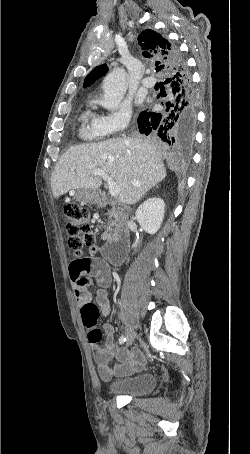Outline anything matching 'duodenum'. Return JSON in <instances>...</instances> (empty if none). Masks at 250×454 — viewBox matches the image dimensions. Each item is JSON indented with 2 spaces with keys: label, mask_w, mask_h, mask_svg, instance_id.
<instances>
[{
  "label": "duodenum",
  "mask_w": 250,
  "mask_h": 454,
  "mask_svg": "<svg viewBox=\"0 0 250 454\" xmlns=\"http://www.w3.org/2000/svg\"><path fill=\"white\" fill-rule=\"evenodd\" d=\"M99 203L102 206L108 205L105 196H99ZM112 214L118 216L120 211L117 208L111 210ZM129 229L127 226L117 225L108 243L103 247L104 258L112 265L119 266L125 261L129 246Z\"/></svg>",
  "instance_id": "410a0bca"
}]
</instances>
